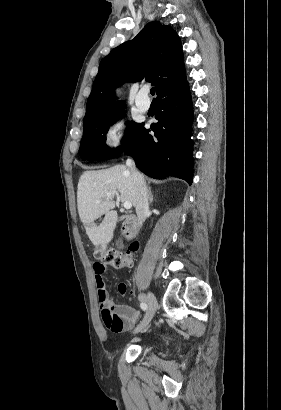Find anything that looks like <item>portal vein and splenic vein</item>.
<instances>
[{"label": "portal vein and splenic vein", "mask_w": 281, "mask_h": 410, "mask_svg": "<svg viewBox=\"0 0 281 410\" xmlns=\"http://www.w3.org/2000/svg\"><path fill=\"white\" fill-rule=\"evenodd\" d=\"M113 198L111 197V196H108L107 198H106V200H112ZM97 203H100V201H97ZM123 207L125 208V209H130L131 207H132V204H131V202H129V201H125L124 203H123Z\"/></svg>", "instance_id": "18ae733b"}]
</instances>
